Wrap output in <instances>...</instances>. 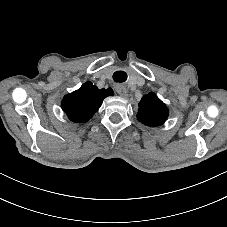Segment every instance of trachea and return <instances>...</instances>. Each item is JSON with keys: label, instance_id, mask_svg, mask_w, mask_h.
<instances>
[{"label": "trachea", "instance_id": "3493384b", "mask_svg": "<svg viewBox=\"0 0 227 227\" xmlns=\"http://www.w3.org/2000/svg\"><path fill=\"white\" fill-rule=\"evenodd\" d=\"M127 79V74L124 71H116L113 74V80L117 83H122L126 81Z\"/></svg>", "mask_w": 227, "mask_h": 227}]
</instances>
